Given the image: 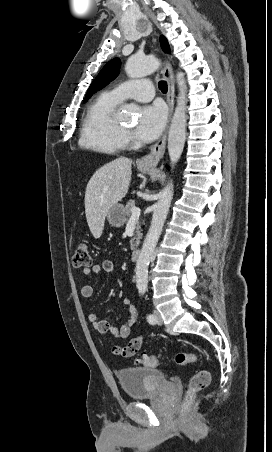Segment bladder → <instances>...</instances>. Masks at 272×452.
Listing matches in <instances>:
<instances>
[{"mask_svg": "<svg viewBox=\"0 0 272 452\" xmlns=\"http://www.w3.org/2000/svg\"><path fill=\"white\" fill-rule=\"evenodd\" d=\"M117 378L130 399L151 396L167 383L165 374L154 368H122L117 371Z\"/></svg>", "mask_w": 272, "mask_h": 452, "instance_id": "bladder-1", "label": "bladder"}]
</instances>
